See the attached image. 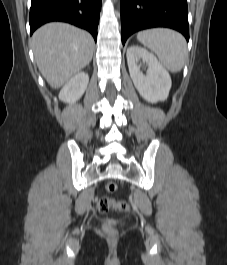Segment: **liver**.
I'll use <instances>...</instances> for the list:
<instances>
[{"label":"liver","mask_w":227,"mask_h":265,"mask_svg":"<svg viewBox=\"0 0 227 265\" xmlns=\"http://www.w3.org/2000/svg\"><path fill=\"white\" fill-rule=\"evenodd\" d=\"M31 42L39 71L52 88L66 84L93 56V37L67 23L43 25Z\"/></svg>","instance_id":"1"}]
</instances>
